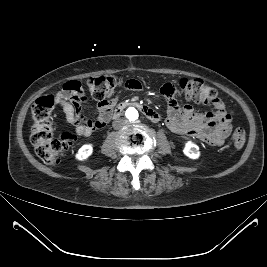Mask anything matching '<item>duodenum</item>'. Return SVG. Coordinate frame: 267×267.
I'll return each instance as SVG.
<instances>
[{"label": "duodenum", "mask_w": 267, "mask_h": 267, "mask_svg": "<svg viewBox=\"0 0 267 267\" xmlns=\"http://www.w3.org/2000/svg\"><path fill=\"white\" fill-rule=\"evenodd\" d=\"M128 106L138 107L143 112V114L153 122H158L160 120V115L154 109H152L150 106L146 104H142L137 101H125L118 104L111 110L109 118L117 119L122 114L124 109Z\"/></svg>", "instance_id": "410a0bca"}]
</instances>
